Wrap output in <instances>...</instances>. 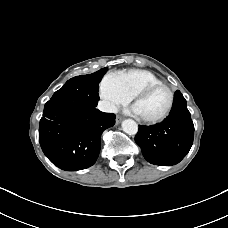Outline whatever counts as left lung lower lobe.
I'll return each instance as SVG.
<instances>
[{"label": "left lung lower lobe", "mask_w": 228, "mask_h": 228, "mask_svg": "<svg viewBox=\"0 0 228 228\" xmlns=\"http://www.w3.org/2000/svg\"><path fill=\"white\" fill-rule=\"evenodd\" d=\"M194 138V125L186 100L180 91L174 94L169 116L153 126H139L135 136L145 159L155 165L179 163L189 152Z\"/></svg>", "instance_id": "1"}]
</instances>
